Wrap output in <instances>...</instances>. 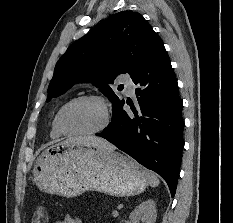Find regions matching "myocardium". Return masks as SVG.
<instances>
[{
    "instance_id": "f54148a6",
    "label": "myocardium",
    "mask_w": 233,
    "mask_h": 223,
    "mask_svg": "<svg viewBox=\"0 0 233 223\" xmlns=\"http://www.w3.org/2000/svg\"><path fill=\"white\" fill-rule=\"evenodd\" d=\"M81 101H97L101 104L104 110L105 114V122L104 124L97 130L92 132H85V133H77L70 131L65 123H64V116L66 111L75 103L81 102ZM111 124V114L109 111L108 104L104 97L100 95H81L77 96L75 98H72L71 100L67 101L59 110L57 116H56V127L58 131L64 135L72 136V137H92L95 135H99L103 133Z\"/></svg>"
}]
</instances>
